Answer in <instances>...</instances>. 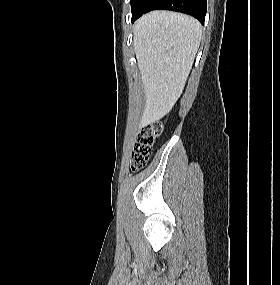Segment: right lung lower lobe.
I'll list each match as a JSON object with an SVG mask.
<instances>
[{"label":"right lung lower lobe","mask_w":280,"mask_h":285,"mask_svg":"<svg viewBox=\"0 0 280 285\" xmlns=\"http://www.w3.org/2000/svg\"><path fill=\"white\" fill-rule=\"evenodd\" d=\"M165 9L189 14L202 24L206 15V0H142L132 13V22L152 10Z\"/></svg>","instance_id":"obj_1"}]
</instances>
